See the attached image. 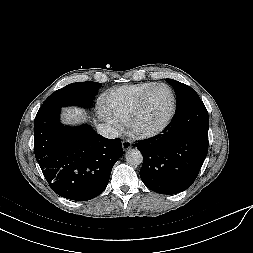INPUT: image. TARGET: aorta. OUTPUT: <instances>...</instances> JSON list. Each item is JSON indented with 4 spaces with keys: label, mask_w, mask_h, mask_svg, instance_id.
<instances>
[{
    "label": "aorta",
    "mask_w": 253,
    "mask_h": 253,
    "mask_svg": "<svg viewBox=\"0 0 253 253\" xmlns=\"http://www.w3.org/2000/svg\"><path fill=\"white\" fill-rule=\"evenodd\" d=\"M126 161L129 165L138 166L143 162L142 153L135 148L129 149L125 155Z\"/></svg>",
    "instance_id": "1"
}]
</instances>
